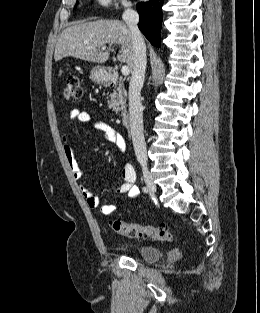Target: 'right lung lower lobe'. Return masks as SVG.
Returning a JSON list of instances; mask_svg holds the SVG:
<instances>
[{
  "instance_id": "right-lung-lower-lobe-1",
  "label": "right lung lower lobe",
  "mask_w": 260,
  "mask_h": 313,
  "mask_svg": "<svg viewBox=\"0 0 260 313\" xmlns=\"http://www.w3.org/2000/svg\"><path fill=\"white\" fill-rule=\"evenodd\" d=\"M163 1L149 0L137 4V11L140 16L138 27L150 43L156 47L160 46Z\"/></svg>"
}]
</instances>
